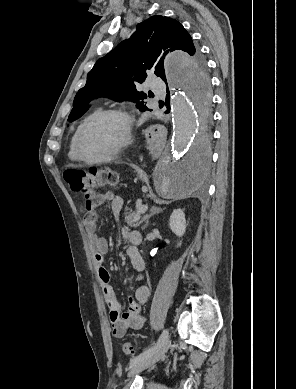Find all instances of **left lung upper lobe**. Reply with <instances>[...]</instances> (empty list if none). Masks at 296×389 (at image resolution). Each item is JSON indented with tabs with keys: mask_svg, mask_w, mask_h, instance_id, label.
Masks as SVG:
<instances>
[{
	"mask_svg": "<svg viewBox=\"0 0 296 389\" xmlns=\"http://www.w3.org/2000/svg\"><path fill=\"white\" fill-rule=\"evenodd\" d=\"M173 50H182L191 56V83L206 90L209 85L206 63L189 33L178 21L155 15L139 23L130 38L96 62L87 75L86 85L75 96L68 120L82 116L88 109L87 104L99 96L132 100L140 111L149 110L142 101L147 95L138 92L136 84L144 82L149 71L166 82L164 56Z\"/></svg>",
	"mask_w": 296,
	"mask_h": 389,
	"instance_id": "obj_1",
	"label": "left lung upper lobe"
}]
</instances>
